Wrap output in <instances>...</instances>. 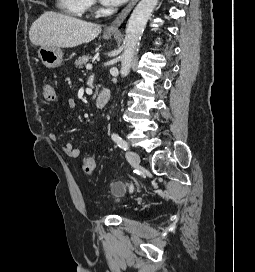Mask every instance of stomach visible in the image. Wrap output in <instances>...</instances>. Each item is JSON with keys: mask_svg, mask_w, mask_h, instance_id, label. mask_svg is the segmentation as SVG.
<instances>
[{"mask_svg": "<svg viewBox=\"0 0 255 272\" xmlns=\"http://www.w3.org/2000/svg\"><path fill=\"white\" fill-rule=\"evenodd\" d=\"M112 34L104 33L103 38L109 39ZM38 57L47 68H56L62 64L63 52L59 47L41 46L38 49Z\"/></svg>", "mask_w": 255, "mask_h": 272, "instance_id": "0dacf381", "label": "stomach"}]
</instances>
